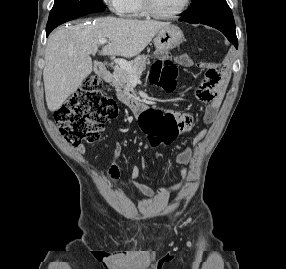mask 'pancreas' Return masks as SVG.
Instances as JSON below:
<instances>
[{"label":"pancreas","instance_id":"pancreas-1","mask_svg":"<svg viewBox=\"0 0 286 269\" xmlns=\"http://www.w3.org/2000/svg\"><path fill=\"white\" fill-rule=\"evenodd\" d=\"M129 64L132 67V71L137 76H140L146 69V65L150 64L149 56H138L133 61H130ZM130 81V72L125 71L120 67L114 68L112 85L115 87L118 99L124 103H128L133 97L136 96Z\"/></svg>","mask_w":286,"mask_h":269}]
</instances>
